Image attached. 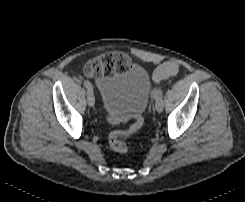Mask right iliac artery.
Instances as JSON below:
<instances>
[{
	"mask_svg": "<svg viewBox=\"0 0 245 202\" xmlns=\"http://www.w3.org/2000/svg\"><path fill=\"white\" fill-rule=\"evenodd\" d=\"M84 86L88 89V90H93L92 84L89 81H85L84 82Z\"/></svg>",
	"mask_w": 245,
	"mask_h": 202,
	"instance_id": "1",
	"label": "right iliac artery"
}]
</instances>
